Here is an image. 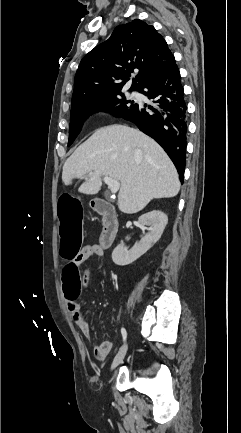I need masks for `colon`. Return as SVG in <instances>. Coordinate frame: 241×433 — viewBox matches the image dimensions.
<instances>
[{"label":"colon","instance_id":"1","mask_svg":"<svg viewBox=\"0 0 241 433\" xmlns=\"http://www.w3.org/2000/svg\"><path fill=\"white\" fill-rule=\"evenodd\" d=\"M76 192H61L57 198L60 222V256L63 261H72L79 256V247L83 245V226L81 214H85V205H80L76 200ZM79 267L75 263H66L61 272L60 288L65 292L69 305H76L79 299Z\"/></svg>","mask_w":241,"mask_h":433}]
</instances>
